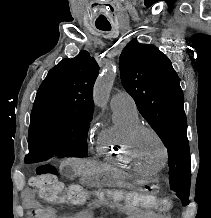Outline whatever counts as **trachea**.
<instances>
[{
  "mask_svg": "<svg viewBox=\"0 0 211 218\" xmlns=\"http://www.w3.org/2000/svg\"><path fill=\"white\" fill-rule=\"evenodd\" d=\"M99 30H104V32H109L111 30V26H97Z\"/></svg>",
  "mask_w": 211,
  "mask_h": 218,
  "instance_id": "1",
  "label": "trachea"
}]
</instances>
